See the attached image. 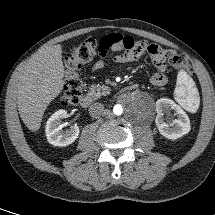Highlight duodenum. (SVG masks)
Segmentation results:
<instances>
[{"instance_id":"obj_1","label":"duodenum","mask_w":215,"mask_h":215,"mask_svg":"<svg viewBox=\"0 0 215 215\" xmlns=\"http://www.w3.org/2000/svg\"><path fill=\"white\" fill-rule=\"evenodd\" d=\"M133 89H135V85H130L128 87H126L123 91V93H129L130 91H132ZM95 101V97L92 94H86L80 101V105L83 108H87L89 106H91L93 104V102Z\"/></svg>"}]
</instances>
